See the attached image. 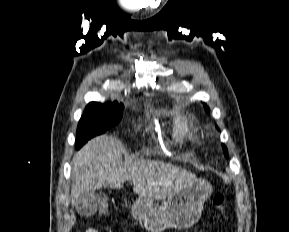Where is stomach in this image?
Listing matches in <instances>:
<instances>
[{
    "mask_svg": "<svg viewBox=\"0 0 289 232\" xmlns=\"http://www.w3.org/2000/svg\"><path fill=\"white\" fill-rule=\"evenodd\" d=\"M212 193V186L195 179L162 203L138 197L132 205V216L143 223L148 232H163L168 228L187 229L201 217L203 205Z\"/></svg>",
    "mask_w": 289,
    "mask_h": 232,
    "instance_id": "0dacf381",
    "label": "stomach"
}]
</instances>
